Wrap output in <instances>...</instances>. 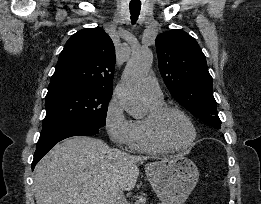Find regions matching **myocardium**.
<instances>
[{
  "label": "myocardium",
  "instance_id": "f54148a6",
  "mask_svg": "<svg viewBox=\"0 0 261 204\" xmlns=\"http://www.w3.org/2000/svg\"><path fill=\"white\" fill-rule=\"evenodd\" d=\"M172 113H177V114L181 115L188 122V124L190 125V127L192 129V137H191L190 141L183 146H176V145L172 144L171 142H169L167 140V138L165 137V135L163 133V122H164L165 118L169 114H172ZM148 123H149L151 133H152L153 137L155 138V140L159 144L164 146L165 148L172 150V151L187 150L194 144V142L197 139V128H196L195 123L193 122L192 118L186 111H184L183 109L176 107V106H163L162 108L152 112L148 116Z\"/></svg>",
  "mask_w": 261,
  "mask_h": 204
}]
</instances>
